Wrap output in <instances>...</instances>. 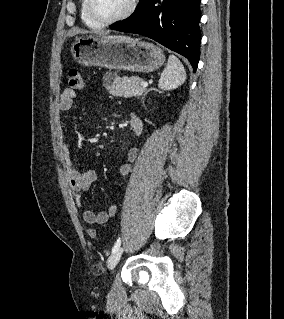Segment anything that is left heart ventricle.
Here are the masks:
<instances>
[{
	"mask_svg": "<svg viewBox=\"0 0 284 319\" xmlns=\"http://www.w3.org/2000/svg\"><path fill=\"white\" fill-rule=\"evenodd\" d=\"M129 0H93L95 13L103 19L120 15L128 6Z\"/></svg>",
	"mask_w": 284,
	"mask_h": 319,
	"instance_id": "obj_1",
	"label": "left heart ventricle"
}]
</instances>
